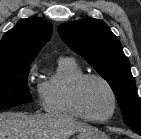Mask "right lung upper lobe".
Segmentation results:
<instances>
[{
  "instance_id": "right-lung-upper-lobe-1",
  "label": "right lung upper lobe",
  "mask_w": 141,
  "mask_h": 139,
  "mask_svg": "<svg viewBox=\"0 0 141 139\" xmlns=\"http://www.w3.org/2000/svg\"><path fill=\"white\" fill-rule=\"evenodd\" d=\"M52 35V24L31 17L6 32L0 43V65L31 63Z\"/></svg>"
}]
</instances>
